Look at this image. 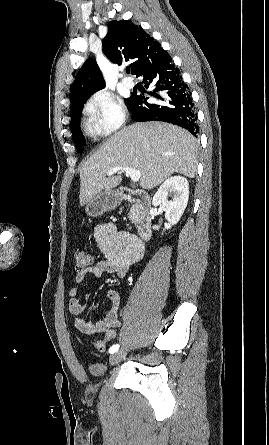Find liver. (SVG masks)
Masks as SVG:
<instances>
[{
	"mask_svg": "<svg viewBox=\"0 0 269 445\" xmlns=\"http://www.w3.org/2000/svg\"><path fill=\"white\" fill-rule=\"evenodd\" d=\"M197 150L196 139L171 124L145 122L125 127L104 141L82 165L80 205L121 183V174L107 176V171L117 166L139 170L140 187L147 190L173 173L193 178L197 170Z\"/></svg>",
	"mask_w": 269,
	"mask_h": 445,
	"instance_id": "1",
	"label": "liver"
}]
</instances>
